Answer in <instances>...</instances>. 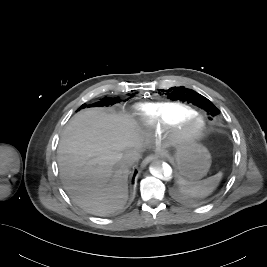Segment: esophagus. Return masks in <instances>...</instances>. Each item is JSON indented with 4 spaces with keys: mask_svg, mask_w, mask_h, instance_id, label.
<instances>
[{
    "mask_svg": "<svg viewBox=\"0 0 267 267\" xmlns=\"http://www.w3.org/2000/svg\"><path fill=\"white\" fill-rule=\"evenodd\" d=\"M156 159H157V156L156 155H150V156L146 157L142 161L141 166L142 167H145L148 163H150L151 161L156 160Z\"/></svg>",
    "mask_w": 267,
    "mask_h": 267,
    "instance_id": "1",
    "label": "esophagus"
}]
</instances>
